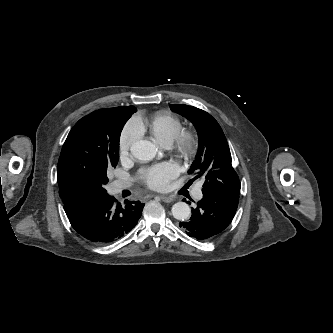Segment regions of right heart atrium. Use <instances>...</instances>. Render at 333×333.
<instances>
[{
  "label": "right heart atrium",
  "instance_id": "obj_1",
  "mask_svg": "<svg viewBox=\"0 0 333 333\" xmlns=\"http://www.w3.org/2000/svg\"><path fill=\"white\" fill-rule=\"evenodd\" d=\"M142 129L136 118L130 119L124 126L119 138V153L121 156L128 155L132 145L140 138Z\"/></svg>",
  "mask_w": 333,
  "mask_h": 333
}]
</instances>
